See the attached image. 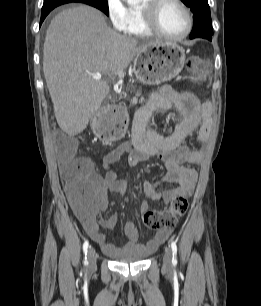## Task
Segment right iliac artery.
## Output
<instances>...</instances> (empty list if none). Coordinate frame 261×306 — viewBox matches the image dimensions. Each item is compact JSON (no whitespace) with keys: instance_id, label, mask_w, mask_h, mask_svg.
Instances as JSON below:
<instances>
[{"instance_id":"1","label":"right iliac artery","mask_w":261,"mask_h":306,"mask_svg":"<svg viewBox=\"0 0 261 306\" xmlns=\"http://www.w3.org/2000/svg\"><path fill=\"white\" fill-rule=\"evenodd\" d=\"M88 246H89V242H88V240H86V241L84 242V244H83V252H84L85 256H86V254H87ZM84 263H85L86 265L88 264V261H87V258H86V257H85Z\"/></svg>"}]
</instances>
